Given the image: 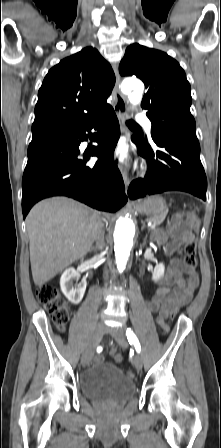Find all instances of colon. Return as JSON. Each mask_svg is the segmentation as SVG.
<instances>
[{
  "label": "colon",
  "instance_id": "5ec220e1",
  "mask_svg": "<svg viewBox=\"0 0 221 448\" xmlns=\"http://www.w3.org/2000/svg\"><path fill=\"white\" fill-rule=\"evenodd\" d=\"M185 223L191 233H195L198 229V219L194 215L186 218ZM183 262L186 268L195 269L197 266L196 244L194 241H188L183 248ZM38 301L49 311L53 321L62 330L69 320V308L67 303L61 298L58 289L49 283H44L38 287L36 291ZM164 325V328H167ZM122 357L116 355L115 362H120ZM102 357H98L97 362L101 363Z\"/></svg>",
  "mask_w": 221,
  "mask_h": 448
}]
</instances>
